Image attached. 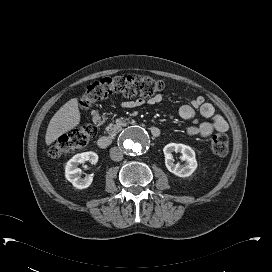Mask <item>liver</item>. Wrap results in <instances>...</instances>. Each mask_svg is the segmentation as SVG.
<instances>
[{
	"label": "liver",
	"instance_id": "obj_1",
	"mask_svg": "<svg viewBox=\"0 0 272 272\" xmlns=\"http://www.w3.org/2000/svg\"><path fill=\"white\" fill-rule=\"evenodd\" d=\"M80 118L78 100L77 98H72L51 118L45 135L46 144H52L59 136L78 126Z\"/></svg>",
	"mask_w": 272,
	"mask_h": 272
}]
</instances>
